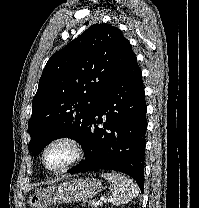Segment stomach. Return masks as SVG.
I'll list each match as a JSON object with an SVG mask.
<instances>
[{"mask_svg":"<svg viewBox=\"0 0 199 208\" xmlns=\"http://www.w3.org/2000/svg\"><path fill=\"white\" fill-rule=\"evenodd\" d=\"M102 184L95 178H78L36 190L30 195L31 208H48L57 203L80 202L96 196Z\"/></svg>","mask_w":199,"mask_h":208,"instance_id":"0dacf381","label":"stomach"}]
</instances>
